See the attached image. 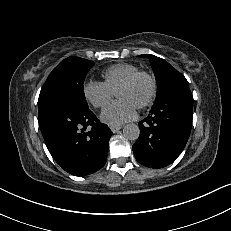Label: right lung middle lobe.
Masks as SVG:
<instances>
[{
  "instance_id": "dd1d6c3e",
  "label": "right lung middle lobe",
  "mask_w": 231,
  "mask_h": 231,
  "mask_svg": "<svg viewBox=\"0 0 231 231\" xmlns=\"http://www.w3.org/2000/svg\"><path fill=\"white\" fill-rule=\"evenodd\" d=\"M94 62L80 57H68L50 73L38 99L39 114L58 104L73 103L87 107L83 82Z\"/></svg>"
}]
</instances>
